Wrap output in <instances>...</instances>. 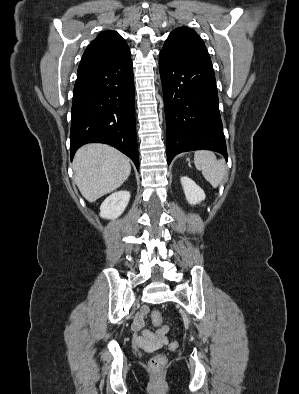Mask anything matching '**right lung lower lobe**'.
<instances>
[{
    "label": "right lung lower lobe",
    "instance_id": "98d812e1",
    "mask_svg": "<svg viewBox=\"0 0 299 394\" xmlns=\"http://www.w3.org/2000/svg\"><path fill=\"white\" fill-rule=\"evenodd\" d=\"M131 58L78 69L71 120V159L89 142L109 144L139 169Z\"/></svg>",
    "mask_w": 299,
    "mask_h": 394
}]
</instances>
